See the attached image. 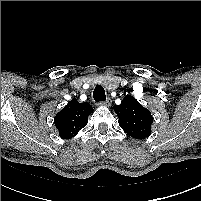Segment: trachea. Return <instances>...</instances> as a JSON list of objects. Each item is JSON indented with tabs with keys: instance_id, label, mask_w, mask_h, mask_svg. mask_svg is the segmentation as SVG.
<instances>
[{
	"instance_id": "obj_1",
	"label": "trachea",
	"mask_w": 201,
	"mask_h": 201,
	"mask_svg": "<svg viewBox=\"0 0 201 201\" xmlns=\"http://www.w3.org/2000/svg\"><path fill=\"white\" fill-rule=\"evenodd\" d=\"M93 98L95 102H102L106 100L105 90L102 85H97L93 91Z\"/></svg>"
}]
</instances>
